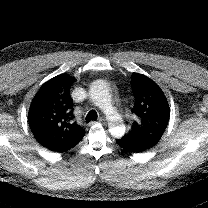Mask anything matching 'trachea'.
Here are the masks:
<instances>
[{
	"label": "trachea",
	"mask_w": 208,
	"mask_h": 208,
	"mask_svg": "<svg viewBox=\"0 0 208 208\" xmlns=\"http://www.w3.org/2000/svg\"><path fill=\"white\" fill-rule=\"evenodd\" d=\"M97 118H98L97 112L95 110H91L88 112L85 119H86V122L89 123L90 121L97 120Z\"/></svg>",
	"instance_id": "obj_1"
}]
</instances>
